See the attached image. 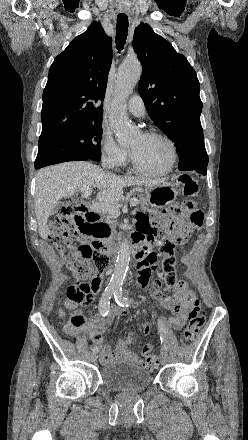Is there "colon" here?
<instances>
[{
    "label": "colon",
    "mask_w": 248,
    "mask_h": 440,
    "mask_svg": "<svg viewBox=\"0 0 248 440\" xmlns=\"http://www.w3.org/2000/svg\"><path fill=\"white\" fill-rule=\"evenodd\" d=\"M180 182L184 187V195L193 197L198 193L197 182L188 175H181ZM183 210L188 216V224L192 228H200L203 225V213L195 207V204L188 200L183 204ZM83 214L73 206L65 205L61 208L52 223L51 240L66 262L70 271L77 277L64 295L63 306L73 309L78 306H89L97 288L95 278L89 276L97 271L98 267H107L108 258L96 245L88 242H81L75 245L73 239L83 230ZM187 238V234H177L165 239L160 243V253L162 257H175L176 245L182 244ZM86 322L82 314L74 313L71 317L73 326H82ZM205 323V316L198 310L190 311L188 315V325L182 333V340L190 343L201 331ZM152 330L151 325L143 327L144 335H148ZM144 363L149 368L157 365V359L151 344L146 343L142 347Z\"/></svg>",
    "instance_id": "colon-1"
}]
</instances>
